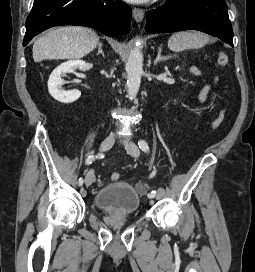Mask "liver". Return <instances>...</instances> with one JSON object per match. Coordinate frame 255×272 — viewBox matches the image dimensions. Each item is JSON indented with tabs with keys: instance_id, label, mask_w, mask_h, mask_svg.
Wrapping results in <instances>:
<instances>
[{
	"instance_id": "6515ba94",
	"label": "liver",
	"mask_w": 255,
	"mask_h": 272,
	"mask_svg": "<svg viewBox=\"0 0 255 272\" xmlns=\"http://www.w3.org/2000/svg\"><path fill=\"white\" fill-rule=\"evenodd\" d=\"M99 37L91 29L66 26L52 29L35 40L33 59L35 62L52 59H78L93 51Z\"/></svg>"
}]
</instances>
